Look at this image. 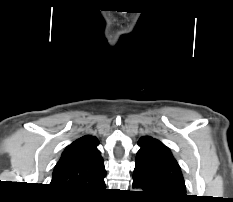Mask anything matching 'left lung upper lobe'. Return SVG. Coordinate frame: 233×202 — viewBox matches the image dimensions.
<instances>
[{
    "label": "left lung upper lobe",
    "instance_id": "obj_1",
    "mask_svg": "<svg viewBox=\"0 0 233 202\" xmlns=\"http://www.w3.org/2000/svg\"><path fill=\"white\" fill-rule=\"evenodd\" d=\"M138 145L133 181L157 201L179 202L186 198L180 166L170 150L152 137H142Z\"/></svg>",
    "mask_w": 233,
    "mask_h": 202
}]
</instances>
